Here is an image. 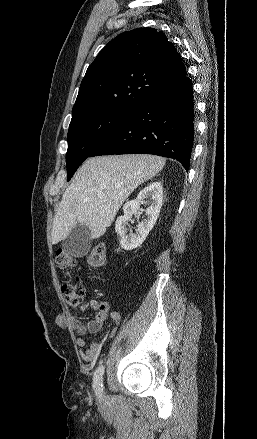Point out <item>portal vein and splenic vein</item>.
<instances>
[{
  "label": "portal vein and splenic vein",
  "mask_w": 257,
  "mask_h": 439,
  "mask_svg": "<svg viewBox=\"0 0 257 439\" xmlns=\"http://www.w3.org/2000/svg\"><path fill=\"white\" fill-rule=\"evenodd\" d=\"M98 197H99V198H103V197H104V194H98Z\"/></svg>",
  "instance_id": "portal-vein-and-splenic-vein-1"
}]
</instances>
